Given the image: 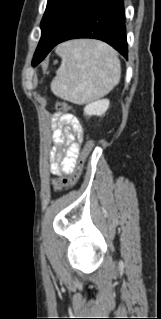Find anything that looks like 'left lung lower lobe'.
Here are the masks:
<instances>
[{"mask_svg":"<svg viewBox=\"0 0 161 319\" xmlns=\"http://www.w3.org/2000/svg\"><path fill=\"white\" fill-rule=\"evenodd\" d=\"M77 38L102 40L127 59L128 44L123 0L97 2L45 54L47 55L57 44Z\"/></svg>","mask_w":161,"mask_h":319,"instance_id":"0a47b994","label":"left lung lower lobe"}]
</instances>
